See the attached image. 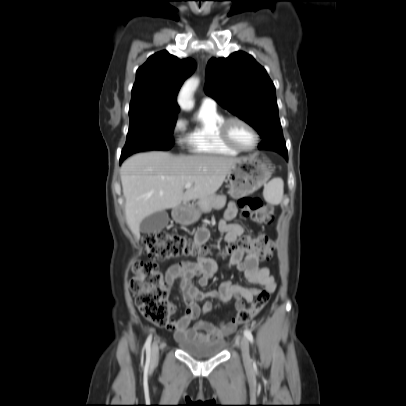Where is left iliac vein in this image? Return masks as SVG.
Returning <instances> with one entry per match:
<instances>
[{
    "label": "left iliac vein",
    "instance_id": "4c4485c4",
    "mask_svg": "<svg viewBox=\"0 0 406 406\" xmlns=\"http://www.w3.org/2000/svg\"><path fill=\"white\" fill-rule=\"evenodd\" d=\"M240 348L242 351V357L245 364L249 365L251 363L249 341L246 337H243L240 342Z\"/></svg>",
    "mask_w": 406,
    "mask_h": 406
}]
</instances>
